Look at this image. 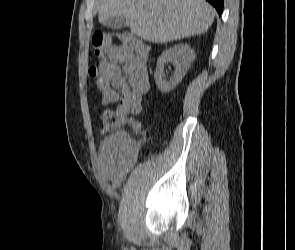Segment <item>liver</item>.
Wrapping results in <instances>:
<instances>
[{"mask_svg": "<svg viewBox=\"0 0 295 250\" xmlns=\"http://www.w3.org/2000/svg\"><path fill=\"white\" fill-rule=\"evenodd\" d=\"M124 17L132 34L167 43L207 32L215 17L205 0H101L98 20Z\"/></svg>", "mask_w": 295, "mask_h": 250, "instance_id": "liver-1", "label": "liver"}]
</instances>
